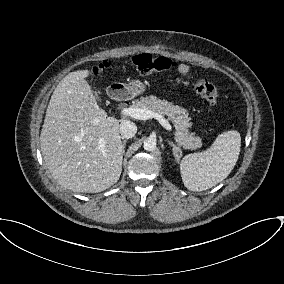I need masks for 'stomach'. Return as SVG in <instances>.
<instances>
[{"label": "stomach", "mask_w": 284, "mask_h": 284, "mask_svg": "<svg viewBox=\"0 0 284 284\" xmlns=\"http://www.w3.org/2000/svg\"><path fill=\"white\" fill-rule=\"evenodd\" d=\"M113 88L125 89L130 97L142 94L145 92L146 87L140 80H131L128 84L115 83Z\"/></svg>", "instance_id": "obj_1"}]
</instances>
